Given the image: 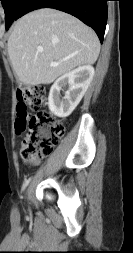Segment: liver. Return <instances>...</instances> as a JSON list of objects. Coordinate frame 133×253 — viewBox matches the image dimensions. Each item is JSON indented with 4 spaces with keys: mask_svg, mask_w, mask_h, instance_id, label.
Here are the masks:
<instances>
[{
    "mask_svg": "<svg viewBox=\"0 0 133 253\" xmlns=\"http://www.w3.org/2000/svg\"><path fill=\"white\" fill-rule=\"evenodd\" d=\"M99 52V39L90 27L50 8L18 19L8 39L13 70L21 83L31 86L52 83L78 66L92 65Z\"/></svg>",
    "mask_w": 133,
    "mask_h": 253,
    "instance_id": "obj_1",
    "label": "liver"
}]
</instances>
